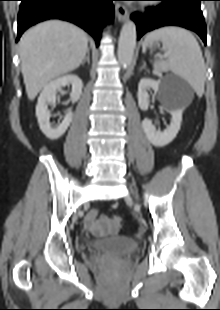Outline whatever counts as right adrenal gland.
<instances>
[{
    "label": "right adrenal gland",
    "mask_w": 220,
    "mask_h": 310,
    "mask_svg": "<svg viewBox=\"0 0 220 310\" xmlns=\"http://www.w3.org/2000/svg\"><path fill=\"white\" fill-rule=\"evenodd\" d=\"M86 61H87L88 64H90V52H89V50L87 51L86 56L83 59L81 64L84 65Z\"/></svg>",
    "instance_id": "2a0ac1e0"
}]
</instances>
